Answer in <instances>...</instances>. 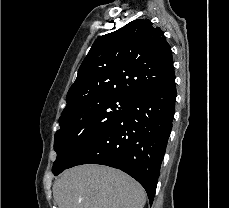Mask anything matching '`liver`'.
I'll return each mask as SVG.
<instances>
[{"instance_id": "liver-1", "label": "liver", "mask_w": 229, "mask_h": 208, "mask_svg": "<svg viewBox=\"0 0 229 208\" xmlns=\"http://www.w3.org/2000/svg\"><path fill=\"white\" fill-rule=\"evenodd\" d=\"M58 208H144L145 190L130 176L97 164L65 170L53 186Z\"/></svg>"}]
</instances>
